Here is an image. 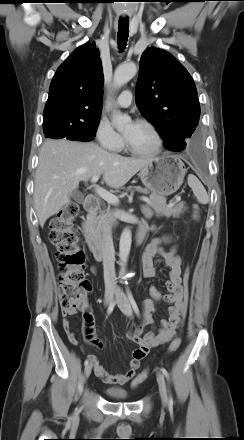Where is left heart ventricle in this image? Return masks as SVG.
<instances>
[{
  "label": "left heart ventricle",
  "instance_id": "obj_1",
  "mask_svg": "<svg viewBox=\"0 0 244 440\" xmlns=\"http://www.w3.org/2000/svg\"><path fill=\"white\" fill-rule=\"evenodd\" d=\"M124 135L129 143L141 151H149L155 146V139L152 133L144 126L136 124L134 128L131 124L124 130Z\"/></svg>",
  "mask_w": 244,
  "mask_h": 440
}]
</instances>
